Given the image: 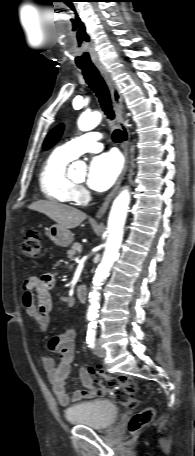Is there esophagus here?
<instances>
[{
	"label": "esophagus",
	"mask_w": 195,
	"mask_h": 456,
	"mask_svg": "<svg viewBox=\"0 0 195 456\" xmlns=\"http://www.w3.org/2000/svg\"><path fill=\"white\" fill-rule=\"evenodd\" d=\"M98 70L100 71L101 75L103 76L104 80L106 81L112 95L116 115H117V121L118 125L123 133V141H122V150H123V155H124V167L123 170L117 179L113 189L110 191V193L106 196L104 202L102 203L101 207L96 213V218H101L107 211L113 197L115 196L117 190L119 189L122 180L124 179V176L127 172L128 165H129V139H130V134H129V129L127 126V123L124 118V108H123V100L121 93L118 89V86L116 82L114 81L111 73L102 65H97Z\"/></svg>",
	"instance_id": "esophagus-1"
}]
</instances>
